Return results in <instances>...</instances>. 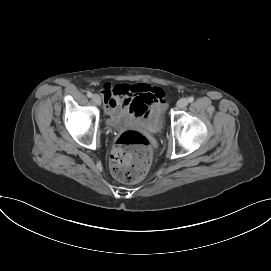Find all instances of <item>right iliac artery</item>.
I'll use <instances>...</instances> for the list:
<instances>
[{"instance_id":"1","label":"right iliac artery","mask_w":271,"mask_h":271,"mask_svg":"<svg viewBox=\"0 0 271 271\" xmlns=\"http://www.w3.org/2000/svg\"><path fill=\"white\" fill-rule=\"evenodd\" d=\"M87 96H88L89 98H91V97L93 96V94H92L91 92H87Z\"/></svg>"}]
</instances>
